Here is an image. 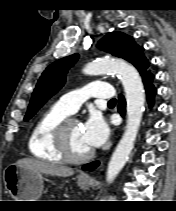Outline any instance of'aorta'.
<instances>
[{
  "label": "aorta",
  "instance_id": "1",
  "mask_svg": "<svg viewBox=\"0 0 176 211\" xmlns=\"http://www.w3.org/2000/svg\"><path fill=\"white\" fill-rule=\"evenodd\" d=\"M83 72L87 75H100L107 72L118 74L126 95L127 124L108 164L106 181L110 184L124 167L134 147L144 111V88L137 70L126 62L103 58L87 64Z\"/></svg>",
  "mask_w": 176,
  "mask_h": 211
}]
</instances>
